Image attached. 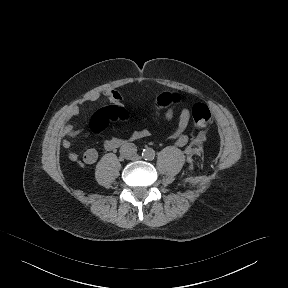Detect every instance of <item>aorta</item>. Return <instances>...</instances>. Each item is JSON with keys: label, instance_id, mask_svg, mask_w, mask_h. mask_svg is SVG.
I'll use <instances>...</instances> for the list:
<instances>
[{"label": "aorta", "instance_id": "1", "mask_svg": "<svg viewBox=\"0 0 288 288\" xmlns=\"http://www.w3.org/2000/svg\"><path fill=\"white\" fill-rule=\"evenodd\" d=\"M154 156H155V152H154V150L151 149V148L145 149V150L143 151V157H144V159H146V160H151V159L154 158Z\"/></svg>", "mask_w": 288, "mask_h": 288}]
</instances>
